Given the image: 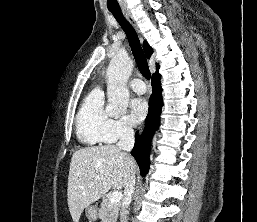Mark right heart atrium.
Instances as JSON below:
<instances>
[{"label":"right heart atrium","mask_w":257,"mask_h":222,"mask_svg":"<svg viewBox=\"0 0 257 222\" xmlns=\"http://www.w3.org/2000/svg\"><path fill=\"white\" fill-rule=\"evenodd\" d=\"M133 134L132 125L127 118L110 119L105 129V136L108 143L127 139Z\"/></svg>","instance_id":"obj_1"}]
</instances>
